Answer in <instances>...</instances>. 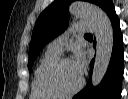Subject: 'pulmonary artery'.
<instances>
[{
  "mask_svg": "<svg viewBox=\"0 0 128 99\" xmlns=\"http://www.w3.org/2000/svg\"><path fill=\"white\" fill-rule=\"evenodd\" d=\"M92 24L86 21L77 22L69 32L55 38L48 44V50L57 54H61L63 44L68 39L70 33L72 32H87L92 31Z\"/></svg>",
  "mask_w": 128,
  "mask_h": 99,
  "instance_id": "obj_1",
  "label": "pulmonary artery"
}]
</instances>
